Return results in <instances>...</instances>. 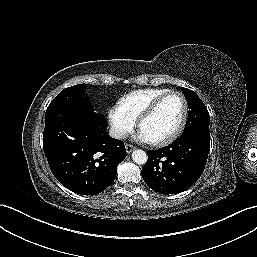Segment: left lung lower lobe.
Instances as JSON below:
<instances>
[{"label":"left lung lower lobe","mask_w":257,"mask_h":257,"mask_svg":"<svg viewBox=\"0 0 257 257\" xmlns=\"http://www.w3.org/2000/svg\"><path fill=\"white\" fill-rule=\"evenodd\" d=\"M210 149V133L194 131L155 151H148L142 169L145 183L161 194L187 190L203 173Z\"/></svg>","instance_id":"0a47b994"}]
</instances>
